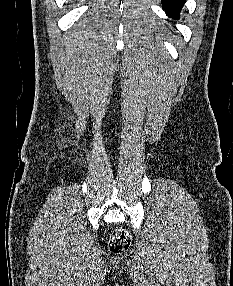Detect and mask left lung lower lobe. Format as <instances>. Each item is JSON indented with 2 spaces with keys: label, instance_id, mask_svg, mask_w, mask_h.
<instances>
[{
  "label": "left lung lower lobe",
  "instance_id": "left-lung-lower-lobe-1",
  "mask_svg": "<svg viewBox=\"0 0 233 286\" xmlns=\"http://www.w3.org/2000/svg\"><path fill=\"white\" fill-rule=\"evenodd\" d=\"M185 1L186 0H162V4L167 15L174 19H178L180 10Z\"/></svg>",
  "mask_w": 233,
  "mask_h": 286
}]
</instances>
